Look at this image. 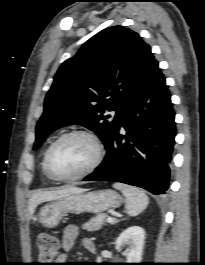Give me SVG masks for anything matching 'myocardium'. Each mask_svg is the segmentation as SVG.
Wrapping results in <instances>:
<instances>
[{"instance_id": "myocardium-1", "label": "myocardium", "mask_w": 205, "mask_h": 265, "mask_svg": "<svg viewBox=\"0 0 205 265\" xmlns=\"http://www.w3.org/2000/svg\"><path fill=\"white\" fill-rule=\"evenodd\" d=\"M75 136L85 137L93 143L94 148H95L94 159L84 170H82L81 172H79L75 175H72V176L58 175L52 170V168L50 166V155H51L52 151L54 150V148L59 143H61L65 139H68L70 137H75ZM103 155H104V151H103L102 143L95 134H93L90 131H86V130H71V131H68L66 133H63L62 135H60L56 140H54L50 144V146L48 147V149L45 152V155L43 158V165H44V168H45L47 174L52 179L57 180V181H61V182H72V181L83 179V178L87 177L88 175H90L91 173H93L100 166V164L103 160Z\"/></svg>"}]
</instances>
